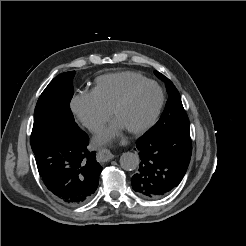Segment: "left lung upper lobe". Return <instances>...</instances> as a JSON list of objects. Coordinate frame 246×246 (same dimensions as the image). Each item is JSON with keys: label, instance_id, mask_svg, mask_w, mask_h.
Masks as SVG:
<instances>
[{"label": "left lung upper lobe", "instance_id": "left-lung-upper-lobe-1", "mask_svg": "<svg viewBox=\"0 0 246 246\" xmlns=\"http://www.w3.org/2000/svg\"><path fill=\"white\" fill-rule=\"evenodd\" d=\"M165 82L168 100L159 121L147 132L154 134L165 130H189V119L183 108L180 94L174 84L163 74L154 71Z\"/></svg>", "mask_w": 246, "mask_h": 246}]
</instances>
